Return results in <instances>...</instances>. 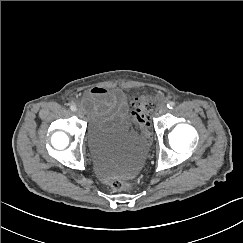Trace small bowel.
<instances>
[{
	"label": "small bowel",
	"mask_w": 243,
	"mask_h": 243,
	"mask_svg": "<svg viewBox=\"0 0 243 243\" xmlns=\"http://www.w3.org/2000/svg\"><path fill=\"white\" fill-rule=\"evenodd\" d=\"M81 105L92 115L125 114L128 110L127 99L121 89L102 86L93 87L86 92Z\"/></svg>",
	"instance_id": "small-bowel-1"
}]
</instances>
